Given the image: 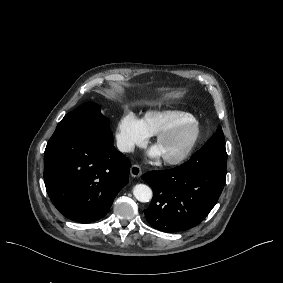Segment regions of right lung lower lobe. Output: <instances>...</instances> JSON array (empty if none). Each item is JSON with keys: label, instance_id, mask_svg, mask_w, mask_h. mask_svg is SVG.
I'll list each match as a JSON object with an SVG mask.
<instances>
[{"label": "right lung lower lobe", "instance_id": "obj_1", "mask_svg": "<svg viewBox=\"0 0 283 283\" xmlns=\"http://www.w3.org/2000/svg\"><path fill=\"white\" fill-rule=\"evenodd\" d=\"M130 165L113 146L111 131L56 129L44 153L46 190L60 213L90 223L107 214L129 181Z\"/></svg>", "mask_w": 283, "mask_h": 283}]
</instances>
